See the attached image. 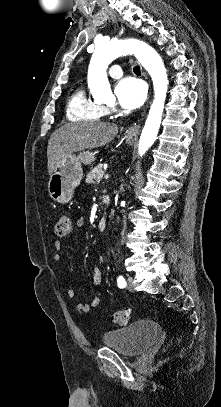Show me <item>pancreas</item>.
I'll list each match as a JSON object with an SVG mask.
<instances>
[{"label": "pancreas", "mask_w": 221, "mask_h": 407, "mask_svg": "<svg viewBox=\"0 0 221 407\" xmlns=\"http://www.w3.org/2000/svg\"><path fill=\"white\" fill-rule=\"evenodd\" d=\"M104 175V170L102 165L94 167L86 176V183L92 184L99 182Z\"/></svg>", "instance_id": "1"}]
</instances>
